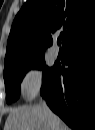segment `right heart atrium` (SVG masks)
<instances>
[{"label": "right heart atrium", "mask_w": 95, "mask_h": 130, "mask_svg": "<svg viewBox=\"0 0 95 130\" xmlns=\"http://www.w3.org/2000/svg\"><path fill=\"white\" fill-rule=\"evenodd\" d=\"M43 88V75L39 67H31L25 71L20 80V90L26 99L39 94Z\"/></svg>", "instance_id": "right-heart-atrium-1"}]
</instances>
